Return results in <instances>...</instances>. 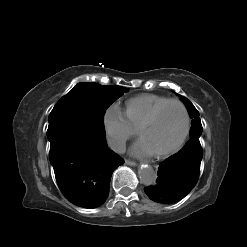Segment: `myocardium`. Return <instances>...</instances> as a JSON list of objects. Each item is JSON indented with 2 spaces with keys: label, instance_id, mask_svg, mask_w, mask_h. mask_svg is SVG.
<instances>
[{
  "label": "myocardium",
  "instance_id": "obj_1",
  "mask_svg": "<svg viewBox=\"0 0 247 247\" xmlns=\"http://www.w3.org/2000/svg\"><path fill=\"white\" fill-rule=\"evenodd\" d=\"M172 104L178 105L183 112L184 130H183L182 135L180 136L179 140L172 147H170L167 150L154 153V155L157 158H164V157H167L169 155H172L173 153L177 152L182 147L184 142L186 141V139L189 135V132H190V115H189L188 109L185 106V104L183 102H181L180 100H177V99L167 100L166 102L157 106L151 112V114L141 123V125L137 129V134L140 136V133L142 132V130L149 127L150 125H152L154 123V121L157 119L158 115L161 113V111L164 108H166L167 106L172 105Z\"/></svg>",
  "mask_w": 247,
  "mask_h": 247
}]
</instances>
